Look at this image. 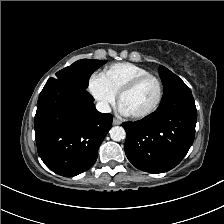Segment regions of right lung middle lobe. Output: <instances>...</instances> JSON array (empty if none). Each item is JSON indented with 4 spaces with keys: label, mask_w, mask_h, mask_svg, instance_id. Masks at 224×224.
<instances>
[{
    "label": "right lung middle lobe",
    "mask_w": 224,
    "mask_h": 224,
    "mask_svg": "<svg viewBox=\"0 0 224 224\" xmlns=\"http://www.w3.org/2000/svg\"><path fill=\"white\" fill-rule=\"evenodd\" d=\"M106 60L82 59L74 62L56 73L55 78H50L49 83H64L72 87L86 90L91 74L102 66Z\"/></svg>",
    "instance_id": "dd1d6c3e"
}]
</instances>
